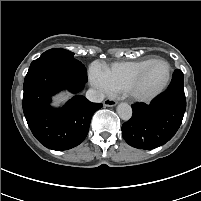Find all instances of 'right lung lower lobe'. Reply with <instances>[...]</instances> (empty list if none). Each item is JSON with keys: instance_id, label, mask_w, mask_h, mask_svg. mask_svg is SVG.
I'll list each match as a JSON object with an SVG mask.
<instances>
[{"instance_id": "1", "label": "right lung lower lobe", "mask_w": 201, "mask_h": 201, "mask_svg": "<svg viewBox=\"0 0 201 201\" xmlns=\"http://www.w3.org/2000/svg\"><path fill=\"white\" fill-rule=\"evenodd\" d=\"M84 65L58 54L34 60L24 80L23 112L35 138L53 150H68L87 136L92 115L102 104L75 95L59 109L50 106L51 97L61 90L81 91L87 82Z\"/></svg>"}]
</instances>
